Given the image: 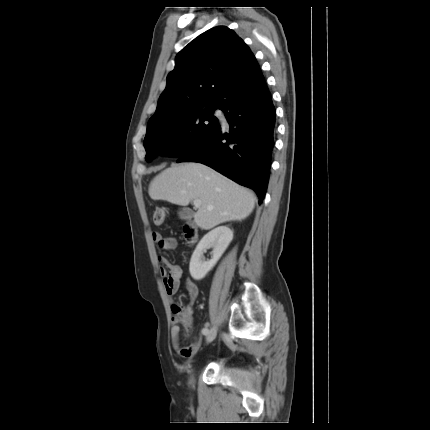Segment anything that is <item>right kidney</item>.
Masks as SVG:
<instances>
[{
	"label": "right kidney",
	"instance_id": "ca27d5eb",
	"mask_svg": "<svg viewBox=\"0 0 430 430\" xmlns=\"http://www.w3.org/2000/svg\"><path fill=\"white\" fill-rule=\"evenodd\" d=\"M233 239V231L227 226H219L203 236L196 246L189 265V272L194 280L203 279L216 265ZM213 247V257L210 261H204L203 252L206 248Z\"/></svg>",
	"mask_w": 430,
	"mask_h": 430
}]
</instances>
